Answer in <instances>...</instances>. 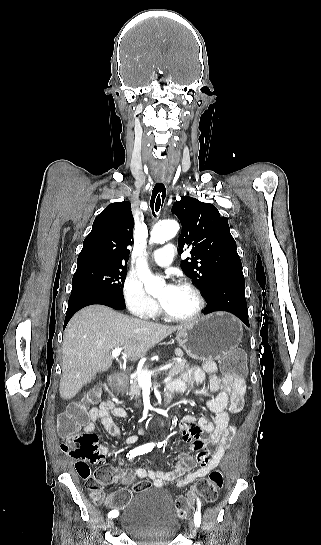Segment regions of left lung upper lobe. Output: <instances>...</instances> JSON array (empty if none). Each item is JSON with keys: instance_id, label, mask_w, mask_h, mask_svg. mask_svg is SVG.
I'll return each mask as SVG.
<instances>
[{"instance_id": "5c2ea615", "label": "left lung upper lobe", "mask_w": 321, "mask_h": 545, "mask_svg": "<svg viewBox=\"0 0 321 545\" xmlns=\"http://www.w3.org/2000/svg\"><path fill=\"white\" fill-rule=\"evenodd\" d=\"M171 211L182 224L178 240L180 252L185 247L191 249L192 258L182 260L181 268L203 295L209 292L212 282L219 277L242 272L228 219L220 217L214 205L182 196L180 201L174 203Z\"/></svg>"}]
</instances>
